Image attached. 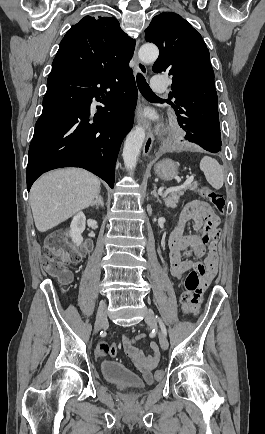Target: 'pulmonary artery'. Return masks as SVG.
<instances>
[{"label":"pulmonary artery","mask_w":265,"mask_h":434,"mask_svg":"<svg viewBox=\"0 0 265 434\" xmlns=\"http://www.w3.org/2000/svg\"><path fill=\"white\" fill-rule=\"evenodd\" d=\"M150 81L152 84H164L166 78L164 75H152Z\"/></svg>","instance_id":"pulmonary-artery-1"}]
</instances>
